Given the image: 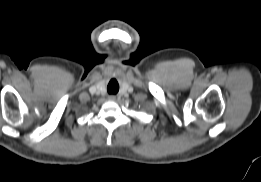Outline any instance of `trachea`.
I'll list each match as a JSON object with an SVG mask.
<instances>
[{
    "instance_id": "1",
    "label": "trachea",
    "mask_w": 261,
    "mask_h": 182,
    "mask_svg": "<svg viewBox=\"0 0 261 182\" xmlns=\"http://www.w3.org/2000/svg\"><path fill=\"white\" fill-rule=\"evenodd\" d=\"M119 90V85L115 80L109 82L107 86V91L109 94H116Z\"/></svg>"
}]
</instances>
